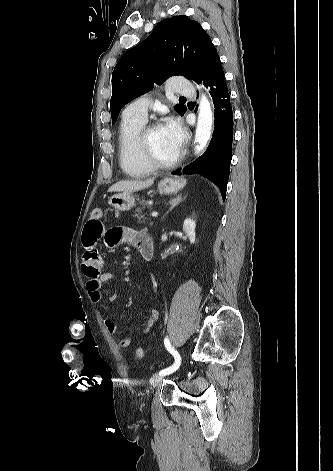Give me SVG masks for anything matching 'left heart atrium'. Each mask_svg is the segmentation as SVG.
Segmentation results:
<instances>
[{"instance_id": "obj_1", "label": "left heart atrium", "mask_w": 333, "mask_h": 471, "mask_svg": "<svg viewBox=\"0 0 333 471\" xmlns=\"http://www.w3.org/2000/svg\"><path fill=\"white\" fill-rule=\"evenodd\" d=\"M162 129L171 146L176 151H179L184 142V134L179 123L173 119H169L162 126Z\"/></svg>"}]
</instances>
